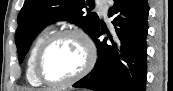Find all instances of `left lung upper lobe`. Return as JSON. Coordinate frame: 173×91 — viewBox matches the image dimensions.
I'll return each instance as SVG.
<instances>
[{
    "instance_id": "1",
    "label": "left lung upper lobe",
    "mask_w": 173,
    "mask_h": 91,
    "mask_svg": "<svg viewBox=\"0 0 173 91\" xmlns=\"http://www.w3.org/2000/svg\"><path fill=\"white\" fill-rule=\"evenodd\" d=\"M93 5V0H25L18 15L15 35L19 62H22L28 48L47 24L56 20H68L82 27L91 37L100 20L95 13H86L85 8Z\"/></svg>"
}]
</instances>
